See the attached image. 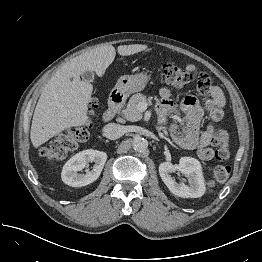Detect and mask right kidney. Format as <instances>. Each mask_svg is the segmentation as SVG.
<instances>
[{
  "mask_svg": "<svg viewBox=\"0 0 262 262\" xmlns=\"http://www.w3.org/2000/svg\"><path fill=\"white\" fill-rule=\"evenodd\" d=\"M107 160V154L103 151L84 150L70 158L61 173L62 181L72 187H82L88 185L100 176L101 171ZM88 162H94L93 169L85 174L82 171Z\"/></svg>",
  "mask_w": 262,
  "mask_h": 262,
  "instance_id": "ca27d5eb",
  "label": "right kidney"
}]
</instances>
